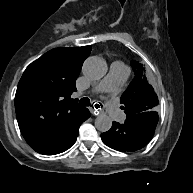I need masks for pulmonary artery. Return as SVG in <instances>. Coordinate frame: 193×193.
<instances>
[{"label":"pulmonary artery","instance_id":"e3ab8cb5","mask_svg":"<svg viewBox=\"0 0 193 193\" xmlns=\"http://www.w3.org/2000/svg\"><path fill=\"white\" fill-rule=\"evenodd\" d=\"M128 72L127 66L122 63H113L110 67L108 75L93 89L96 93L113 92L117 90L123 83ZM109 115L112 120L122 123L124 116L122 111L115 106V102H106Z\"/></svg>","mask_w":193,"mask_h":193}]
</instances>
